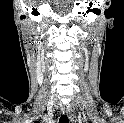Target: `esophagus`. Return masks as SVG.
<instances>
[{
	"label": "esophagus",
	"mask_w": 124,
	"mask_h": 123,
	"mask_svg": "<svg viewBox=\"0 0 124 123\" xmlns=\"http://www.w3.org/2000/svg\"><path fill=\"white\" fill-rule=\"evenodd\" d=\"M62 113L67 115L69 117L70 121L73 122V114H72L70 108H68V107L63 108Z\"/></svg>",
	"instance_id": "1"
}]
</instances>
